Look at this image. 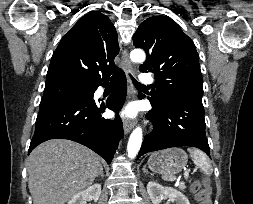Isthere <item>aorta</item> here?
Wrapping results in <instances>:
<instances>
[{
	"label": "aorta",
	"mask_w": 253,
	"mask_h": 204,
	"mask_svg": "<svg viewBox=\"0 0 253 204\" xmlns=\"http://www.w3.org/2000/svg\"><path fill=\"white\" fill-rule=\"evenodd\" d=\"M130 58L133 62L142 63L145 60V53L141 49H134L131 54ZM142 129L137 127L130 135L128 145H127V152L129 158H134L141 147L142 144Z\"/></svg>",
	"instance_id": "aorta-1"
}]
</instances>
